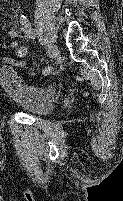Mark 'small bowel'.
<instances>
[{
    "instance_id": "obj_1",
    "label": "small bowel",
    "mask_w": 123,
    "mask_h": 201,
    "mask_svg": "<svg viewBox=\"0 0 123 201\" xmlns=\"http://www.w3.org/2000/svg\"><path fill=\"white\" fill-rule=\"evenodd\" d=\"M22 32L27 36V34L25 33V31L22 30ZM17 36H18L17 30L15 28H10L9 31H8V33H7L6 41L0 47V49L6 48L10 43H12L17 38ZM0 58L3 59L7 64L16 65V66H24V62L17 61L14 58H11V57H8V56H1Z\"/></svg>"
}]
</instances>
